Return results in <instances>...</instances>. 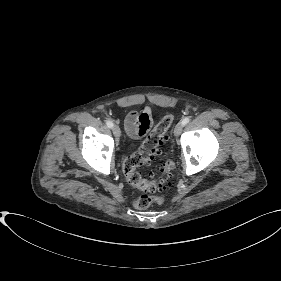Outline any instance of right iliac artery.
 I'll list each match as a JSON object with an SVG mask.
<instances>
[{"mask_svg": "<svg viewBox=\"0 0 281 281\" xmlns=\"http://www.w3.org/2000/svg\"><path fill=\"white\" fill-rule=\"evenodd\" d=\"M106 124L109 128H112L113 127V122L111 120H107L106 121Z\"/></svg>", "mask_w": 281, "mask_h": 281, "instance_id": "right-iliac-artery-1", "label": "right iliac artery"}]
</instances>
